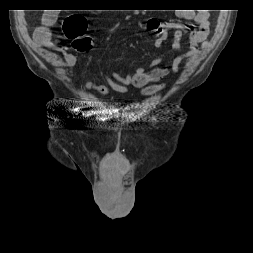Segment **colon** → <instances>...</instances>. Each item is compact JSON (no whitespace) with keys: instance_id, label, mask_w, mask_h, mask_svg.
I'll return each mask as SVG.
<instances>
[{"instance_id":"5ec220e1","label":"colon","mask_w":253,"mask_h":253,"mask_svg":"<svg viewBox=\"0 0 253 253\" xmlns=\"http://www.w3.org/2000/svg\"><path fill=\"white\" fill-rule=\"evenodd\" d=\"M87 20L81 15L67 17L63 23L65 37L72 41V47L79 52L90 49L91 39L86 35Z\"/></svg>"}]
</instances>
